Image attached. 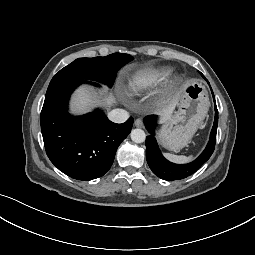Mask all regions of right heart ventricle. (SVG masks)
<instances>
[{"instance_id":"1","label":"right heart ventricle","mask_w":255,"mask_h":255,"mask_svg":"<svg viewBox=\"0 0 255 255\" xmlns=\"http://www.w3.org/2000/svg\"><path fill=\"white\" fill-rule=\"evenodd\" d=\"M170 68H152L143 70L133 76L130 88L134 92H145L156 88L171 75Z\"/></svg>"}]
</instances>
